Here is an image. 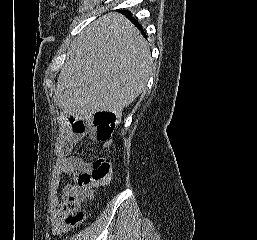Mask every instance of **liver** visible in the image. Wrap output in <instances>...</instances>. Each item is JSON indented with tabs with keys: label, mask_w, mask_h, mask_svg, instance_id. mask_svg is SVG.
I'll list each match as a JSON object with an SVG mask.
<instances>
[{
	"label": "liver",
	"mask_w": 257,
	"mask_h": 240,
	"mask_svg": "<svg viewBox=\"0 0 257 240\" xmlns=\"http://www.w3.org/2000/svg\"><path fill=\"white\" fill-rule=\"evenodd\" d=\"M152 70L147 42L123 15L110 13L73 41L57 79L54 100L76 118L122 111L146 89Z\"/></svg>",
	"instance_id": "1"
}]
</instances>
